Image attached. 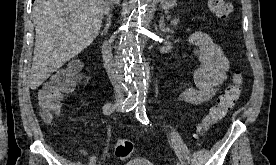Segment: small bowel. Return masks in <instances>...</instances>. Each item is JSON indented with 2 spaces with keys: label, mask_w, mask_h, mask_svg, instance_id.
Here are the masks:
<instances>
[{
  "label": "small bowel",
  "mask_w": 276,
  "mask_h": 165,
  "mask_svg": "<svg viewBox=\"0 0 276 165\" xmlns=\"http://www.w3.org/2000/svg\"><path fill=\"white\" fill-rule=\"evenodd\" d=\"M190 43L199 66L194 72L197 88L188 87L179 93V99L189 104H201L211 100L228 78L230 64L222 48L208 34L196 32Z\"/></svg>",
  "instance_id": "obj_1"
}]
</instances>
